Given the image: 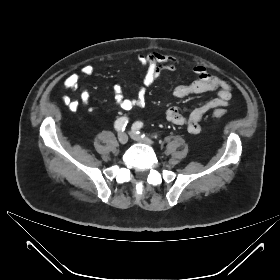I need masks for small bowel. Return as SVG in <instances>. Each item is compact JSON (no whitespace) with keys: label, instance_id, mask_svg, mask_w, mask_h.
Masks as SVG:
<instances>
[{"label":"small bowel","instance_id":"small-bowel-1","mask_svg":"<svg viewBox=\"0 0 280 280\" xmlns=\"http://www.w3.org/2000/svg\"><path fill=\"white\" fill-rule=\"evenodd\" d=\"M138 60L145 68L142 85L138 88L135 97L128 98L122 93L120 86L114 87V98L117 106L128 111L134 107L142 106L146 99V89L154 81H156L164 72H173L177 69L178 61L166 54L159 52H150L147 54H139ZM196 79L189 84H179L173 89V94L177 98H183L189 95L202 94L206 92L216 91V97L205 102L204 104L194 108L188 116H185L178 107H170L166 110L165 116L168 121L185 125L187 130L192 134H198L201 131V121L204 115L213 110H222L229 105L231 99V84L214 74H211L202 65L193 67ZM94 73L92 64H85L81 68V74L89 77ZM80 76L72 73L66 78V84L70 89H77ZM90 94L87 89L80 92L79 100H68L67 106L72 111H77L82 105H88Z\"/></svg>","mask_w":280,"mask_h":280}]
</instances>
